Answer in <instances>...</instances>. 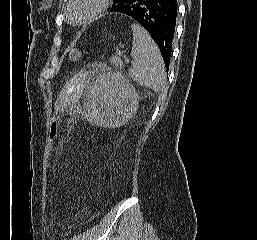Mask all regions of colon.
I'll list each match as a JSON object with an SVG mask.
<instances>
[{
  "label": "colon",
  "instance_id": "5ec220e1",
  "mask_svg": "<svg viewBox=\"0 0 257 240\" xmlns=\"http://www.w3.org/2000/svg\"><path fill=\"white\" fill-rule=\"evenodd\" d=\"M81 57V52L79 49L74 48L70 51L69 58L71 61H77ZM59 130H60V122L58 118H54L51 121V124L49 126V131H48V136L51 141H54L57 139L59 135Z\"/></svg>",
  "mask_w": 257,
  "mask_h": 240
}]
</instances>
